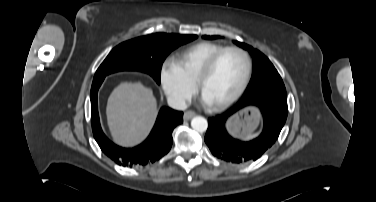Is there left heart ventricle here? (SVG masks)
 Returning a JSON list of instances; mask_svg holds the SVG:
<instances>
[{
	"mask_svg": "<svg viewBox=\"0 0 376 202\" xmlns=\"http://www.w3.org/2000/svg\"><path fill=\"white\" fill-rule=\"evenodd\" d=\"M244 73L245 60L240 54H224L203 84V97L209 104L224 101L238 89Z\"/></svg>",
	"mask_w": 376,
	"mask_h": 202,
	"instance_id": "obj_1",
	"label": "left heart ventricle"
}]
</instances>
